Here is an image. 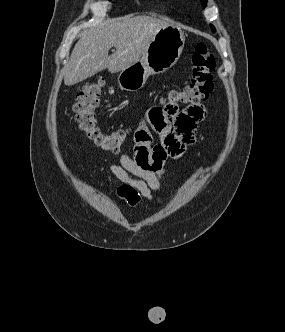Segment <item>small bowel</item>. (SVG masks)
<instances>
[{"mask_svg": "<svg viewBox=\"0 0 285 332\" xmlns=\"http://www.w3.org/2000/svg\"><path fill=\"white\" fill-rule=\"evenodd\" d=\"M164 102L163 106H147V114L134 132V155L122 151L119 163L110 166L119 184L117 194L130 206L142 199L151 201L154 192L162 191L166 159L181 156L194 143L197 125L206 117L202 105L183 110L172 96H165ZM152 133H159V143L153 144Z\"/></svg>", "mask_w": 285, "mask_h": 332, "instance_id": "1", "label": "small bowel"}]
</instances>
